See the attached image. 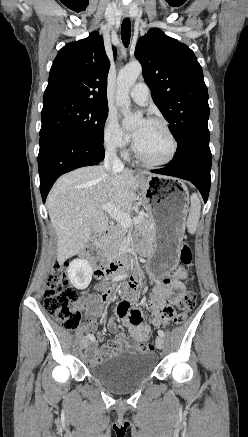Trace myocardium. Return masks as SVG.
Here are the masks:
<instances>
[{
	"instance_id": "obj_1",
	"label": "myocardium",
	"mask_w": 248,
	"mask_h": 437,
	"mask_svg": "<svg viewBox=\"0 0 248 437\" xmlns=\"http://www.w3.org/2000/svg\"><path fill=\"white\" fill-rule=\"evenodd\" d=\"M148 122L159 124L165 130V132L167 133V135H168V137H169V139L171 141V144H172L171 151H170L169 155L167 156V158H165L164 160H161V161H151V160L145 158L140 153V151L138 150V148L136 146V143L134 142L133 145H132L133 153L135 154L136 158L142 164H144V165H146L148 167H161V166L168 165V164H170L174 160V158H175V156L177 154V151H178V141H177L174 133L172 132L170 126L168 125V123L164 119L158 118V117H153V118L148 119Z\"/></svg>"
}]
</instances>
